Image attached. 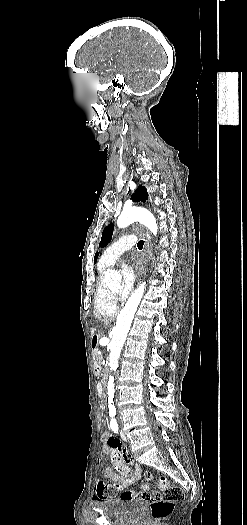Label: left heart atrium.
Returning a JSON list of instances; mask_svg holds the SVG:
<instances>
[{"label":"left heart atrium","instance_id":"1","mask_svg":"<svg viewBox=\"0 0 247 525\" xmlns=\"http://www.w3.org/2000/svg\"><path fill=\"white\" fill-rule=\"evenodd\" d=\"M129 259L131 261L132 268L130 270H124L122 272L123 284L119 289L120 299L126 298L127 295L130 293L135 282V273L143 271L147 262L146 256L137 251L131 252L129 254Z\"/></svg>","mask_w":247,"mask_h":525}]
</instances>
